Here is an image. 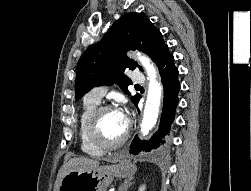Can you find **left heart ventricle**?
I'll list each match as a JSON object with an SVG mask.
<instances>
[{"mask_svg":"<svg viewBox=\"0 0 251 191\" xmlns=\"http://www.w3.org/2000/svg\"><path fill=\"white\" fill-rule=\"evenodd\" d=\"M125 127L126 125L122 124L117 119L113 111H107L103 114L101 119V136L107 142H115L121 138Z\"/></svg>","mask_w":251,"mask_h":191,"instance_id":"obj_1","label":"left heart ventricle"}]
</instances>
